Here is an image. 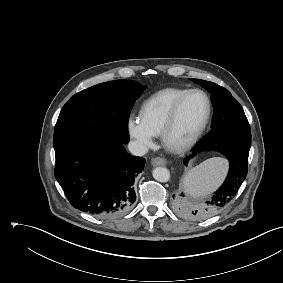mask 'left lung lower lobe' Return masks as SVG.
I'll return each instance as SVG.
<instances>
[{"label":"left lung lower lobe","instance_id":"0a47b994","mask_svg":"<svg viewBox=\"0 0 283 283\" xmlns=\"http://www.w3.org/2000/svg\"><path fill=\"white\" fill-rule=\"evenodd\" d=\"M217 151L227 157L230 168L226 180L213 196L198 207H192L185 204H179V211L189 218L204 219L219 212L229 203L232 197L237 193L242 182L245 180L248 170L249 150L231 147L215 146L209 147L199 143L193 150V154L184 160L187 165L190 158L203 151Z\"/></svg>","mask_w":283,"mask_h":283}]
</instances>
